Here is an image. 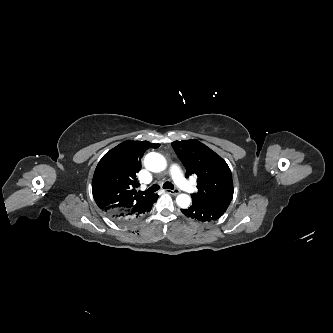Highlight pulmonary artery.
<instances>
[{
    "label": "pulmonary artery",
    "instance_id": "1",
    "mask_svg": "<svg viewBox=\"0 0 333 333\" xmlns=\"http://www.w3.org/2000/svg\"><path fill=\"white\" fill-rule=\"evenodd\" d=\"M169 172L174 179L175 183L185 192L192 193L194 192V186L185 179L180 167L176 164H173L169 168Z\"/></svg>",
    "mask_w": 333,
    "mask_h": 333
}]
</instances>
